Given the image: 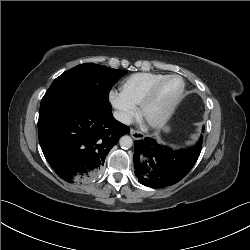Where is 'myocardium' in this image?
I'll return each instance as SVG.
<instances>
[{
	"label": "myocardium",
	"instance_id": "f54148a6",
	"mask_svg": "<svg viewBox=\"0 0 250 250\" xmlns=\"http://www.w3.org/2000/svg\"><path fill=\"white\" fill-rule=\"evenodd\" d=\"M170 79H179L182 82V87L177 94V96L172 100V102L169 104L167 109L157 118L150 119L147 116V110L149 106L154 101L157 92L159 91L160 87L168 80ZM186 88V83L184 79L176 74L166 75L163 78L156 81L147 91L141 102L139 103V110L138 115L139 118L142 120V122L149 128L153 129H160L164 127L172 118L173 114L175 113V110L182 99V96L184 94Z\"/></svg>",
	"mask_w": 250,
	"mask_h": 250
}]
</instances>
